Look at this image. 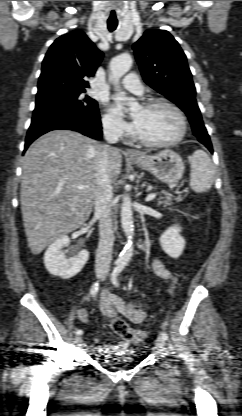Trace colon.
<instances>
[{"label":"colon","mask_w":242,"mask_h":416,"mask_svg":"<svg viewBox=\"0 0 242 416\" xmlns=\"http://www.w3.org/2000/svg\"><path fill=\"white\" fill-rule=\"evenodd\" d=\"M110 328L116 335L127 342H142L147 338V332L131 329L127 322L120 317H114L110 321Z\"/></svg>","instance_id":"1"}]
</instances>
